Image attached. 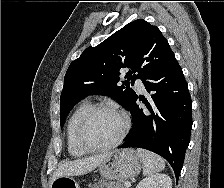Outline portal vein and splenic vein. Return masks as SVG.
Masks as SVG:
<instances>
[{
  "instance_id": "1",
  "label": "portal vein and splenic vein",
  "mask_w": 224,
  "mask_h": 188,
  "mask_svg": "<svg viewBox=\"0 0 224 188\" xmlns=\"http://www.w3.org/2000/svg\"><path fill=\"white\" fill-rule=\"evenodd\" d=\"M125 186L126 188H130L131 187V183L129 181L125 182Z\"/></svg>"
}]
</instances>
